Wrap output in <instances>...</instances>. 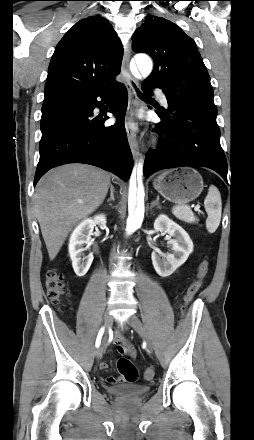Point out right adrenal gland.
<instances>
[{"instance_id": "2a0ac1e0", "label": "right adrenal gland", "mask_w": 254, "mask_h": 440, "mask_svg": "<svg viewBox=\"0 0 254 440\" xmlns=\"http://www.w3.org/2000/svg\"><path fill=\"white\" fill-rule=\"evenodd\" d=\"M111 201L113 202L115 201L113 185H110V198L107 199V202L109 203L110 206H112V204L110 203Z\"/></svg>"}]
</instances>
